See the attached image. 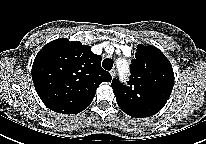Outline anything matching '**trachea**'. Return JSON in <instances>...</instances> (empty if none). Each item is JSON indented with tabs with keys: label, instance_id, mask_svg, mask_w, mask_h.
I'll list each match as a JSON object with an SVG mask.
<instances>
[{
	"label": "trachea",
	"instance_id": "3493384b",
	"mask_svg": "<svg viewBox=\"0 0 206 144\" xmlns=\"http://www.w3.org/2000/svg\"><path fill=\"white\" fill-rule=\"evenodd\" d=\"M113 60L112 59H109V58H106L103 60L102 62V66L105 70H111L112 67H113Z\"/></svg>",
	"mask_w": 206,
	"mask_h": 144
}]
</instances>
